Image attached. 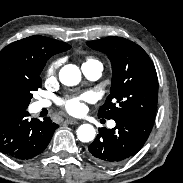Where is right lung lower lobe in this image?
Returning <instances> with one entry per match:
<instances>
[{
  "label": "right lung lower lobe",
  "mask_w": 183,
  "mask_h": 183,
  "mask_svg": "<svg viewBox=\"0 0 183 183\" xmlns=\"http://www.w3.org/2000/svg\"><path fill=\"white\" fill-rule=\"evenodd\" d=\"M59 125L46 117L29 119L26 110L15 111L0 121V151L13 159H30L49 144Z\"/></svg>",
  "instance_id": "1"
}]
</instances>
